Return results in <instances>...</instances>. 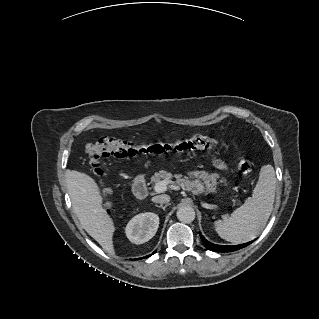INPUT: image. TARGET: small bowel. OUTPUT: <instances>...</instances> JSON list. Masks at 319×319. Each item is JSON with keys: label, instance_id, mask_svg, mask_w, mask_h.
Returning <instances> with one entry per match:
<instances>
[{"label": "small bowel", "instance_id": "c3829d8e", "mask_svg": "<svg viewBox=\"0 0 319 319\" xmlns=\"http://www.w3.org/2000/svg\"><path fill=\"white\" fill-rule=\"evenodd\" d=\"M213 164L219 168V169H224L225 168V163L224 161L220 160V159H214L213 160Z\"/></svg>", "mask_w": 319, "mask_h": 319}]
</instances>
